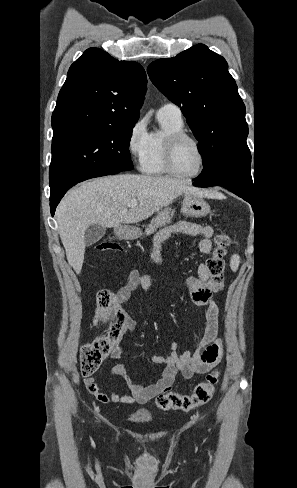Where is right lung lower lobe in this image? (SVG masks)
<instances>
[{
	"label": "right lung lower lobe",
	"instance_id": "98d812e1",
	"mask_svg": "<svg viewBox=\"0 0 297 488\" xmlns=\"http://www.w3.org/2000/svg\"><path fill=\"white\" fill-rule=\"evenodd\" d=\"M121 171H107V172H100V173H96V174H92V175H89L75 183H73L72 185H70L69 187H67L63 192H61L60 194L56 195L55 197L53 198H50V208H51V215L53 216L54 213H55V209H56V206L58 205V203L60 202L61 198L64 196V194L66 193V191L71 188L72 186H74L75 184L79 183V182H82L84 180H87V179H90V178H95V177H100V176H105V175H113V174H117Z\"/></svg>",
	"mask_w": 297,
	"mask_h": 488
}]
</instances>
